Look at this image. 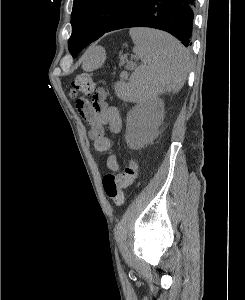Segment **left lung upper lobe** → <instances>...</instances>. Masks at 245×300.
<instances>
[{"label":"left lung upper lobe","instance_id":"5c2ea615","mask_svg":"<svg viewBox=\"0 0 245 300\" xmlns=\"http://www.w3.org/2000/svg\"><path fill=\"white\" fill-rule=\"evenodd\" d=\"M135 0H74L71 14L72 35L69 51L76 57L80 45L102 36L121 13Z\"/></svg>","mask_w":245,"mask_h":300}]
</instances>
